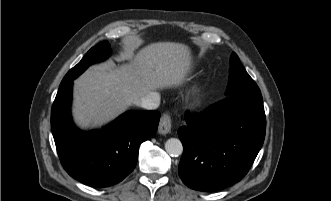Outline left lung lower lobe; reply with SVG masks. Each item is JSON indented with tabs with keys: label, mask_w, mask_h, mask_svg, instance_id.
I'll return each mask as SVG.
<instances>
[{
	"label": "left lung lower lobe",
	"mask_w": 331,
	"mask_h": 201,
	"mask_svg": "<svg viewBox=\"0 0 331 201\" xmlns=\"http://www.w3.org/2000/svg\"><path fill=\"white\" fill-rule=\"evenodd\" d=\"M179 176L190 188L217 191L240 181L265 138L261 92L231 95L205 111L185 117Z\"/></svg>",
	"instance_id": "1"
}]
</instances>
